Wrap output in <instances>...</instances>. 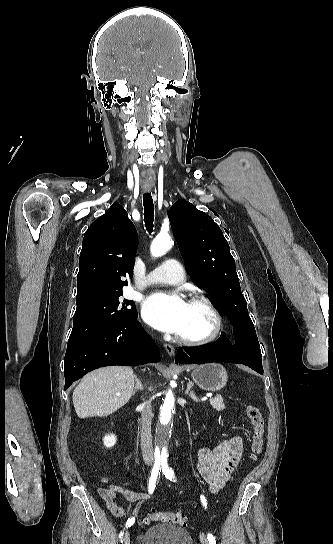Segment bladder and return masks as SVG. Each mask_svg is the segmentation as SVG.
<instances>
[{
  "instance_id": "obj_1",
  "label": "bladder",
  "mask_w": 333,
  "mask_h": 544,
  "mask_svg": "<svg viewBox=\"0 0 333 544\" xmlns=\"http://www.w3.org/2000/svg\"><path fill=\"white\" fill-rule=\"evenodd\" d=\"M139 544H194L190 533L172 524L154 525L139 538Z\"/></svg>"
}]
</instances>
